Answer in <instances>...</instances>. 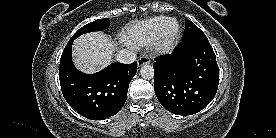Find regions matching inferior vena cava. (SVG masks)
Returning <instances> with one entry per match:
<instances>
[{
    "label": "inferior vena cava",
    "instance_id": "inferior-vena-cava-1",
    "mask_svg": "<svg viewBox=\"0 0 276 138\" xmlns=\"http://www.w3.org/2000/svg\"><path fill=\"white\" fill-rule=\"evenodd\" d=\"M116 59L120 63L130 64L136 60V54L133 51L122 49L116 54Z\"/></svg>",
    "mask_w": 276,
    "mask_h": 138
}]
</instances>
